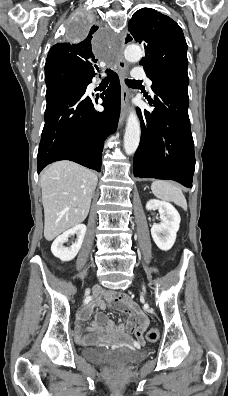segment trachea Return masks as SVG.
Returning <instances> with one entry per match:
<instances>
[{"label":"trachea","instance_id":"obj_1","mask_svg":"<svg viewBox=\"0 0 228 396\" xmlns=\"http://www.w3.org/2000/svg\"><path fill=\"white\" fill-rule=\"evenodd\" d=\"M125 82H126V84L129 86V85H132V84L139 83L140 81H138V80H129V79H125ZM102 83L107 84L108 81H107L106 79H104V80L102 81Z\"/></svg>","mask_w":228,"mask_h":396}]
</instances>
